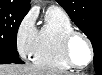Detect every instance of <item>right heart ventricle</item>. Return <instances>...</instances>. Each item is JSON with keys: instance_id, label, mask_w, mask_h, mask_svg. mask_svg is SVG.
<instances>
[{"instance_id": "right-heart-ventricle-1", "label": "right heart ventricle", "mask_w": 102, "mask_h": 75, "mask_svg": "<svg viewBox=\"0 0 102 75\" xmlns=\"http://www.w3.org/2000/svg\"><path fill=\"white\" fill-rule=\"evenodd\" d=\"M74 29L71 18L64 10L50 7L37 32L36 45L32 54L33 61L52 68H70L71 65L62 52V41L65 35Z\"/></svg>"}]
</instances>
